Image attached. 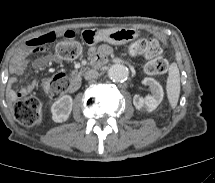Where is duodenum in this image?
<instances>
[{
	"label": "duodenum",
	"instance_id": "obj_1",
	"mask_svg": "<svg viewBox=\"0 0 215 183\" xmlns=\"http://www.w3.org/2000/svg\"><path fill=\"white\" fill-rule=\"evenodd\" d=\"M96 63H101V61H99L98 59H96ZM80 78L78 76L73 77L70 82H69V86H68V90L70 92H74L76 90H78L80 88Z\"/></svg>",
	"mask_w": 215,
	"mask_h": 183
}]
</instances>
